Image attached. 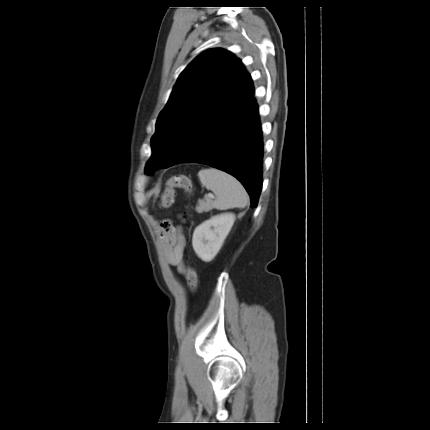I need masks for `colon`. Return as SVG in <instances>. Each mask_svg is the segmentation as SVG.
Listing matches in <instances>:
<instances>
[{
	"label": "colon",
	"instance_id": "1",
	"mask_svg": "<svg viewBox=\"0 0 430 430\" xmlns=\"http://www.w3.org/2000/svg\"><path fill=\"white\" fill-rule=\"evenodd\" d=\"M176 188L182 189L187 194H190L193 189L191 181L187 176L182 174L174 175L168 181L167 187L161 196L160 206L162 208H169L174 204ZM184 273L190 290L192 292H195L198 285V276L195 268L190 265H187L184 268Z\"/></svg>",
	"mask_w": 430,
	"mask_h": 430
}]
</instances>
